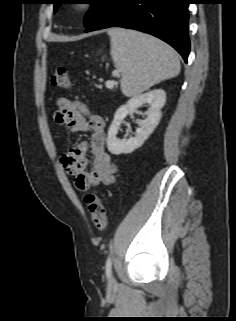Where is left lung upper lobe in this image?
<instances>
[{"label":"left lung upper lobe","mask_w":236,"mask_h":321,"mask_svg":"<svg viewBox=\"0 0 236 321\" xmlns=\"http://www.w3.org/2000/svg\"><path fill=\"white\" fill-rule=\"evenodd\" d=\"M64 0H52L54 4V10L63 4ZM86 3L92 4V7L87 13V18H85V27H87L111 2V0H85Z\"/></svg>","instance_id":"1"}]
</instances>
